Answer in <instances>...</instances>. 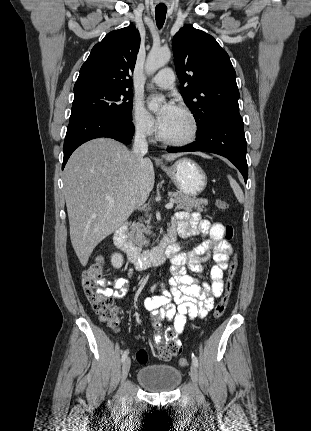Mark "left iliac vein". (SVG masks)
I'll return each instance as SVG.
<instances>
[{
  "label": "left iliac vein",
  "instance_id": "obj_1",
  "mask_svg": "<svg viewBox=\"0 0 311 431\" xmlns=\"http://www.w3.org/2000/svg\"><path fill=\"white\" fill-rule=\"evenodd\" d=\"M190 376L192 381L196 384L198 379V371L197 367L194 364H192L190 367Z\"/></svg>",
  "mask_w": 311,
  "mask_h": 431
}]
</instances>
